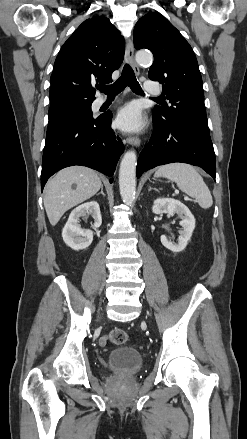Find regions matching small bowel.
<instances>
[{
  "label": "small bowel",
  "instance_id": "obj_1",
  "mask_svg": "<svg viewBox=\"0 0 247 439\" xmlns=\"http://www.w3.org/2000/svg\"><path fill=\"white\" fill-rule=\"evenodd\" d=\"M100 342H101V344H105L106 339H105V338H102Z\"/></svg>",
  "mask_w": 247,
  "mask_h": 439
}]
</instances>
